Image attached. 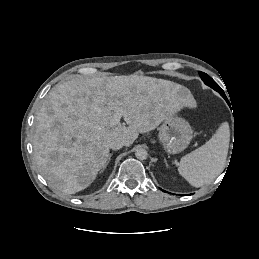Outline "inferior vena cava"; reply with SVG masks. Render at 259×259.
<instances>
[{
    "instance_id": "1",
    "label": "inferior vena cava",
    "mask_w": 259,
    "mask_h": 259,
    "mask_svg": "<svg viewBox=\"0 0 259 259\" xmlns=\"http://www.w3.org/2000/svg\"><path fill=\"white\" fill-rule=\"evenodd\" d=\"M124 146V142L121 139H113L109 143V147L113 150H119Z\"/></svg>"
}]
</instances>
